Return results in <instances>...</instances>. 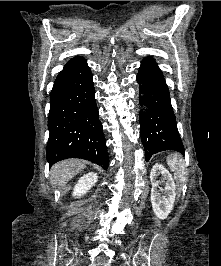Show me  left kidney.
Here are the masks:
<instances>
[{
	"instance_id": "1",
	"label": "left kidney",
	"mask_w": 221,
	"mask_h": 266,
	"mask_svg": "<svg viewBox=\"0 0 221 266\" xmlns=\"http://www.w3.org/2000/svg\"><path fill=\"white\" fill-rule=\"evenodd\" d=\"M163 176L164 188H159L157 180L158 175ZM150 180L152 184L151 189V203L155 215L159 219H166L171 210L173 209L176 193L175 182L172 175L160 163H156L151 170ZM164 192V195L159 193V189Z\"/></svg>"
}]
</instances>
